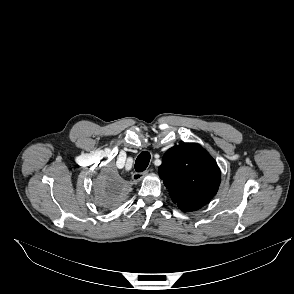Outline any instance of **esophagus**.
I'll return each instance as SVG.
<instances>
[{
  "label": "esophagus",
  "instance_id": "obj_1",
  "mask_svg": "<svg viewBox=\"0 0 294 294\" xmlns=\"http://www.w3.org/2000/svg\"><path fill=\"white\" fill-rule=\"evenodd\" d=\"M148 172H149V170H145L143 172H135L132 175V181L134 183H137V182L141 181L148 174Z\"/></svg>",
  "mask_w": 294,
  "mask_h": 294
}]
</instances>
